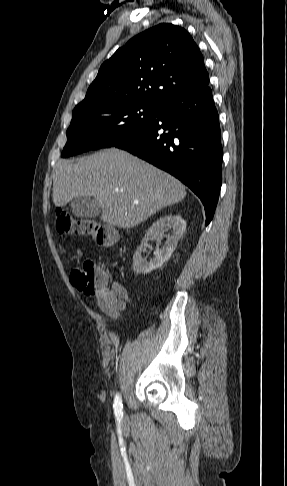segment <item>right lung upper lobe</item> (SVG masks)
I'll list each match as a JSON object with an SVG mask.
<instances>
[{"instance_id": "obj_1", "label": "right lung upper lobe", "mask_w": 287, "mask_h": 486, "mask_svg": "<svg viewBox=\"0 0 287 486\" xmlns=\"http://www.w3.org/2000/svg\"><path fill=\"white\" fill-rule=\"evenodd\" d=\"M208 84L203 55L190 34L162 23L136 35L105 61L73 112L115 100L161 105Z\"/></svg>"}]
</instances>
